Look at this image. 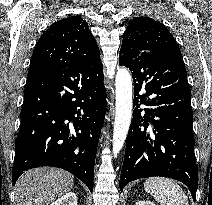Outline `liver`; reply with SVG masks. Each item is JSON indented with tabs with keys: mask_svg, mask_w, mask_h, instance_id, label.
<instances>
[{
	"mask_svg": "<svg viewBox=\"0 0 212 205\" xmlns=\"http://www.w3.org/2000/svg\"><path fill=\"white\" fill-rule=\"evenodd\" d=\"M73 187L72 174L57 168L29 170L16 182L17 205H48Z\"/></svg>",
	"mask_w": 212,
	"mask_h": 205,
	"instance_id": "obj_1",
	"label": "liver"
}]
</instances>
